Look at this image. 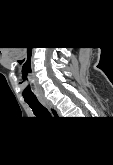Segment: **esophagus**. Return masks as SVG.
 <instances>
[{
	"mask_svg": "<svg viewBox=\"0 0 113 165\" xmlns=\"http://www.w3.org/2000/svg\"><path fill=\"white\" fill-rule=\"evenodd\" d=\"M41 104L48 109L52 117H60L59 110L47 99H40Z\"/></svg>",
	"mask_w": 113,
	"mask_h": 165,
	"instance_id": "obj_1",
	"label": "esophagus"
}]
</instances>
